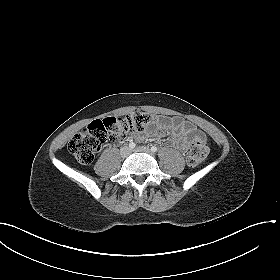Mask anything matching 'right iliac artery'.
I'll return each mask as SVG.
<instances>
[{
	"mask_svg": "<svg viewBox=\"0 0 280 280\" xmlns=\"http://www.w3.org/2000/svg\"><path fill=\"white\" fill-rule=\"evenodd\" d=\"M136 147V144L133 142V141H131L130 143H129V148L130 149H133V148H135Z\"/></svg>",
	"mask_w": 280,
	"mask_h": 280,
	"instance_id": "obj_1",
	"label": "right iliac artery"
}]
</instances>
